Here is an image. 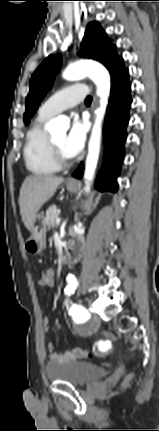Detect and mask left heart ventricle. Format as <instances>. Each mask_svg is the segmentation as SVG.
Listing matches in <instances>:
<instances>
[{"instance_id": "1", "label": "left heart ventricle", "mask_w": 159, "mask_h": 431, "mask_svg": "<svg viewBox=\"0 0 159 431\" xmlns=\"http://www.w3.org/2000/svg\"><path fill=\"white\" fill-rule=\"evenodd\" d=\"M65 137H66V134L65 133H59V134H57V135H54L53 137H52V139H53V141L55 142V144L62 150V152L67 156V157H70V156H68V154L65 152V150H64V141H65Z\"/></svg>"}]
</instances>
